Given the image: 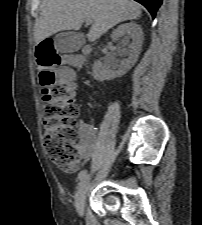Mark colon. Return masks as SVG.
<instances>
[{
  "label": "colon",
  "mask_w": 202,
  "mask_h": 225,
  "mask_svg": "<svg viewBox=\"0 0 202 225\" xmlns=\"http://www.w3.org/2000/svg\"><path fill=\"white\" fill-rule=\"evenodd\" d=\"M57 39L47 37L39 41L36 57L42 85L44 147L51 161L64 171H72L79 164L77 143L78 108L73 102L70 72L57 73L55 67L63 63L56 53ZM70 57V53L65 54ZM58 81V82H57Z\"/></svg>",
  "instance_id": "obj_1"
}]
</instances>
